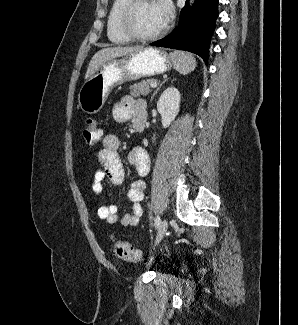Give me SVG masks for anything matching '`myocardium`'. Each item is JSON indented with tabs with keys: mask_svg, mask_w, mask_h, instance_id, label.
Listing matches in <instances>:
<instances>
[{
	"mask_svg": "<svg viewBox=\"0 0 298 325\" xmlns=\"http://www.w3.org/2000/svg\"><path fill=\"white\" fill-rule=\"evenodd\" d=\"M144 0H127L123 6V8L120 11L119 17H118V28L121 34H123L125 37L132 41H138V42H150L154 41L157 38H159L162 34H164L166 30V24L163 28L156 31L155 33L148 35V36H140L136 34L131 27L128 24L129 16L134 9V7L142 2ZM159 2V0H153Z\"/></svg>",
	"mask_w": 298,
	"mask_h": 325,
	"instance_id": "obj_1",
	"label": "myocardium"
}]
</instances>
